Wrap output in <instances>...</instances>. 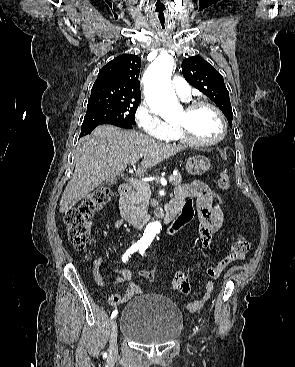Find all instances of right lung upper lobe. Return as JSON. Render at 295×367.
Masks as SVG:
<instances>
[{
  "instance_id": "cb5924a9",
  "label": "right lung upper lobe",
  "mask_w": 295,
  "mask_h": 367,
  "mask_svg": "<svg viewBox=\"0 0 295 367\" xmlns=\"http://www.w3.org/2000/svg\"><path fill=\"white\" fill-rule=\"evenodd\" d=\"M140 65L141 60L136 55L124 54L116 57L99 71L91 93L140 99Z\"/></svg>"
}]
</instances>
